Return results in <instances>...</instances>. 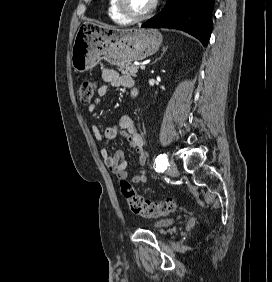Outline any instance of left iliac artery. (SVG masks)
I'll return each mask as SVG.
<instances>
[{
    "label": "left iliac artery",
    "instance_id": "1",
    "mask_svg": "<svg viewBox=\"0 0 272 282\" xmlns=\"http://www.w3.org/2000/svg\"><path fill=\"white\" fill-rule=\"evenodd\" d=\"M168 165L169 163L166 154H161L157 157L155 169L158 172H163L165 169H167Z\"/></svg>",
    "mask_w": 272,
    "mask_h": 282
}]
</instances>
